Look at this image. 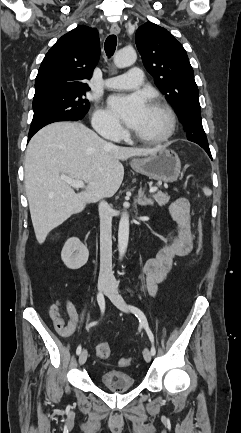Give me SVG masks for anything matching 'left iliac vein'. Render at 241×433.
I'll use <instances>...</instances> for the list:
<instances>
[{"instance_id": "left-iliac-vein-1", "label": "left iliac vein", "mask_w": 241, "mask_h": 433, "mask_svg": "<svg viewBox=\"0 0 241 433\" xmlns=\"http://www.w3.org/2000/svg\"><path fill=\"white\" fill-rule=\"evenodd\" d=\"M106 294L109 297V299L112 301V303L119 308L120 310L124 311V312H129L128 307L126 302L124 301V299L119 295V293L117 292L115 283L111 282L107 289H106ZM143 357L145 359L146 362H150L151 361V352L149 351L148 348H145L143 351Z\"/></svg>"}]
</instances>
